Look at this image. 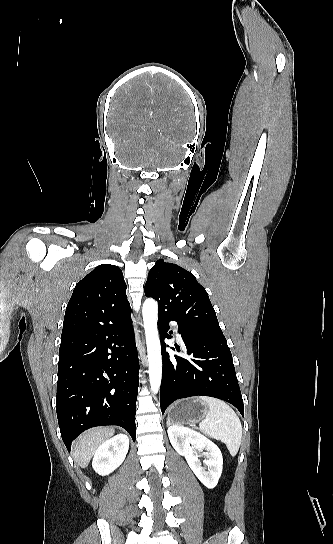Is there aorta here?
I'll return each instance as SVG.
<instances>
[{"instance_id":"1","label":"aorta","mask_w":333,"mask_h":544,"mask_svg":"<svg viewBox=\"0 0 333 544\" xmlns=\"http://www.w3.org/2000/svg\"><path fill=\"white\" fill-rule=\"evenodd\" d=\"M157 311V302L151 298L146 299L143 303L142 314L149 362L150 388L154 394L158 393L162 379V357L157 329Z\"/></svg>"}]
</instances>
